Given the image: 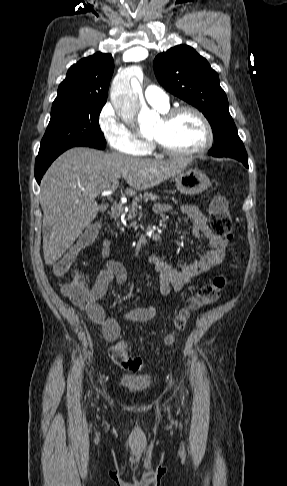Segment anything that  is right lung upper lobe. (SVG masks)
<instances>
[{
    "label": "right lung upper lobe",
    "mask_w": 287,
    "mask_h": 486,
    "mask_svg": "<svg viewBox=\"0 0 287 486\" xmlns=\"http://www.w3.org/2000/svg\"><path fill=\"white\" fill-rule=\"evenodd\" d=\"M113 71L111 54L97 52L81 59L69 68L52 107L83 101L106 102Z\"/></svg>",
    "instance_id": "right-lung-upper-lobe-1"
}]
</instances>
